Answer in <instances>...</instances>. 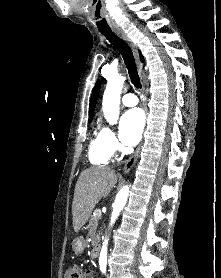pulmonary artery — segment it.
I'll list each match as a JSON object with an SVG mask.
<instances>
[{
  "instance_id": "pulmonary-artery-1",
  "label": "pulmonary artery",
  "mask_w": 221,
  "mask_h": 278,
  "mask_svg": "<svg viewBox=\"0 0 221 278\" xmlns=\"http://www.w3.org/2000/svg\"><path fill=\"white\" fill-rule=\"evenodd\" d=\"M138 98L135 94L129 93V94H125L122 97V103L123 105L127 106V107H133L136 106L138 104Z\"/></svg>"
}]
</instances>
